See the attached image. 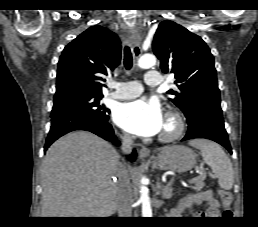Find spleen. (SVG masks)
Returning <instances> with one entry per match:
<instances>
[{
    "label": "spleen",
    "instance_id": "1",
    "mask_svg": "<svg viewBox=\"0 0 258 227\" xmlns=\"http://www.w3.org/2000/svg\"><path fill=\"white\" fill-rule=\"evenodd\" d=\"M189 145L200 150L204 162L217 176L219 186L231 190L234 183L233 167L221 146L206 139L191 140Z\"/></svg>",
    "mask_w": 258,
    "mask_h": 227
}]
</instances>
